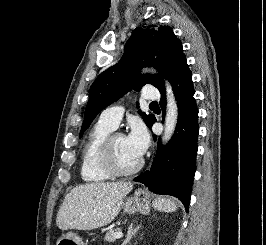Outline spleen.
<instances>
[{
  "label": "spleen",
  "instance_id": "1",
  "mask_svg": "<svg viewBox=\"0 0 266 245\" xmlns=\"http://www.w3.org/2000/svg\"><path fill=\"white\" fill-rule=\"evenodd\" d=\"M153 207L156 211H162V213H174V211H177V205L172 199H162V197H158L154 201Z\"/></svg>",
  "mask_w": 266,
  "mask_h": 245
}]
</instances>
